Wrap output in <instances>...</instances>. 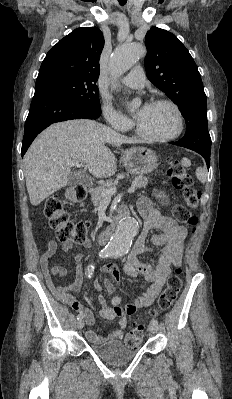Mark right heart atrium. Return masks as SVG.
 Masks as SVG:
<instances>
[{
  "mask_svg": "<svg viewBox=\"0 0 232 399\" xmlns=\"http://www.w3.org/2000/svg\"><path fill=\"white\" fill-rule=\"evenodd\" d=\"M103 117L106 122H109L110 125H113V129L123 130L124 128L129 127V121L118 111L114 109L104 106L102 108Z\"/></svg>",
  "mask_w": 232,
  "mask_h": 399,
  "instance_id": "obj_1",
  "label": "right heart atrium"
}]
</instances>
